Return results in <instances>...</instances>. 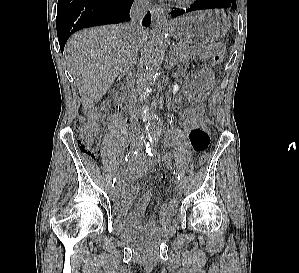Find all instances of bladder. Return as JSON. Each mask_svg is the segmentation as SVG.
I'll use <instances>...</instances> for the list:
<instances>
[{
  "label": "bladder",
  "mask_w": 299,
  "mask_h": 273,
  "mask_svg": "<svg viewBox=\"0 0 299 273\" xmlns=\"http://www.w3.org/2000/svg\"><path fill=\"white\" fill-rule=\"evenodd\" d=\"M113 222L116 226L120 228H132L138 224V219L131 215H126L121 213L118 209L113 210ZM174 224V217L169 216L166 218H161L157 223L158 226L167 227Z\"/></svg>",
  "instance_id": "1"
}]
</instances>
